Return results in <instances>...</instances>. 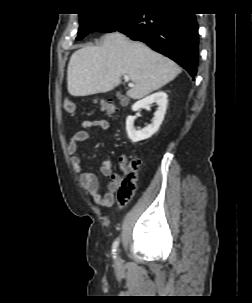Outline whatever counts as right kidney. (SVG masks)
<instances>
[{
	"label": "right kidney",
	"mask_w": 252,
	"mask_h": 303,
	"mask_svg": "<svg viewBox=\"0 0 252 303\" xmlns=\"http://www.w3.org/2000/svg\"><path fill=\"white\" fill-rule=\"evenodd\" d=\"M153 103H156L158 105L157 111L154 113V118L152 120V123L143 128L142 130H136L134 127V116H128L126 119V131L128 134L129 139L132 142H139L145 139L150 138L153 134H155L160 125L162 124V121L164 119V115L166 113L167 108V94L163 91H159L157 93H154L142 100L137 101L133 106V111H138L142 108H145Z\"/></svg>",
	"instance_id": "obj_1"
}]
</instances>
